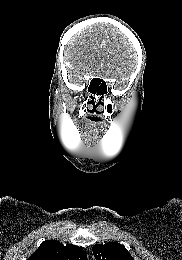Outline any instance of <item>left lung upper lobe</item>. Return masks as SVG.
<instances>
[{
	"label": "left lung upper lobe",
	"mask_w": 182,
	"mask_h": 260,
	"mask_svg": "<svg viewBox=\"0 0 182 260\" xmlns=\"http://www.w3.org/2000/svg\"><path fill=\"white\" fill-rule=\"evenodd\" d=\"M93 255L96 260H134L128 250L119 243L95 244Z\"/></svg>",
	"instance_id": "1"
}]
</instances>
